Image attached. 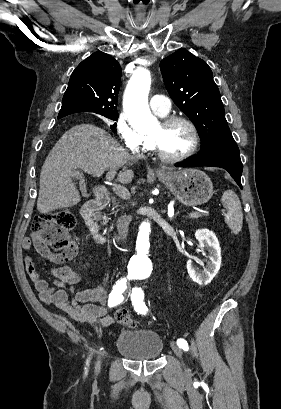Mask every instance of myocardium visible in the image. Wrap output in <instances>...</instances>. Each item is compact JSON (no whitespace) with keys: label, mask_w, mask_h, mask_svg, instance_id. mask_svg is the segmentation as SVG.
<instances>
[{"label":"myocardium","mask_w":281,"mask_h":409,"mask_svg":"<svg viewBox=\"0 0 281 409\" xmlns=\"http://www.w3.org/2000/svg\"><path fill=\"white\" fill-rule=\"evenodd\" d=\"M174 122L183 123L187 127L191 135V142H190L189 148L181 155H177V156L166 155L160 150V148L157 145L156 140L153 137H150L147 135L144 136L146 148L150 150L151 152H153V154L156 157H158L159 159L167 163H178V162H182L188 159L196 152L198 148V144H199V135H198V131L195 125L190 119H188L185 116H182V115L166 116L159 121V125L161 127H166Z\"/></svg>","instance_id":"f54148a6"}]
</instances>
